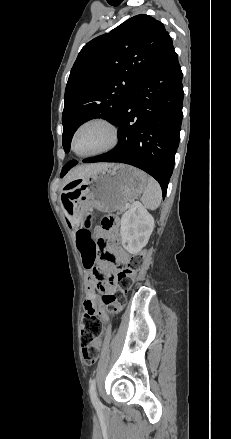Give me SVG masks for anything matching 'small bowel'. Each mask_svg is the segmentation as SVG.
I'll list each match as a JSON object with an SVG mask.
<instances>
[{
  "label": "small bowel",
  "instance_id": "1",
  "mask_svg": "<svg viewBox=\"0 0 231 439\" xmlns=\"http://www.w3.org/2000/svg\"><path fill=\"white\" fill-rule=\"evenodd\" d=\"M102 231H104L102 228L98 229L99 233ZM74 235L76 240V246L79 253L81 254L82 259L84 254L88 250L97 249L98 254L101 256L102 259L99 264V268L97 269L100 272L102 271L109 277L108 281L99 282L93 275V273L89 271V274L87 275L85 280L87 296L84 301V310L92 309L96 313H100L102 311L103 304L100 301L96 290L107 291L111 289L114 281L113 274L116 269L115 266L110 263L109 257H111L112 259L116 258L118 261L122 262L125 258V254L120 248L114 247L110 245L109 242H105L104 240H99V242L96 243L92 239L91 233L86 227L75 226ZM94 346L99 349L102 346V340L98 339L94 343Z\"/></svg>",
  "mask_w": 231,
  "mask_h": 439
}]
</instances>
